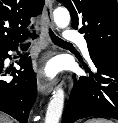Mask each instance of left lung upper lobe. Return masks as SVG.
Instances as JSON below:
<instances>
[{"instance_id": "obj_1", "label": "left lung upper lobe", "mask_w": 118, "mask_h": 123, "mask_svg": "<svg viewBox=\"0 0 118 123\" xmlns=\"http://www.w3.org/2000/svg\"><path fill=\"white\" fill-rule=\"evenodd\" d=\"M71 14L72 27L84 34L89 52L118 58L116 0H57Z\"/></svg>"}]
</instances>
